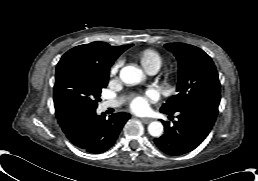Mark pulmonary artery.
Returning <instances> with one entry per match:
<instances>
[{"mask_svg": "<svg viewBox=\"0 0 258 181\" xmlns=\"http://www.w3.org/2000/svg\"><path fill=\"white\" fill-rule=\"evenodd\" d=\"M157 70H152L149 73L150 74H155ZM122 104L121 99H114V100H107L102 103L101 108L102 109H108V108H114V107H119Z\"/></svg>", "mask_w": 258, "mask_h": 181, "instance_id": "obj_1", "label": "pulmonary artery"}]
</instances>
